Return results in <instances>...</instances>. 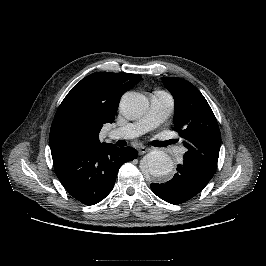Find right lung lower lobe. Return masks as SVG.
<instances>
[{
	"label": "right lung lower lobe",
	"instance_id": "1",
	"mask_svg": "<svg viewBox=\"0 0 266 266\" xmlns=\"http://www.w3.org/2000/svg\"><path fill=\"white\" fill-rule=\"evenodd\" d=\"M135 158L136 149L118 148L110 143L52 154L60 182L71 196L85 205L103 200L113 189L121 165Z\"/></svg>",
	"mask_w": 266,
	"mask_h": 266
}]
</instances>
